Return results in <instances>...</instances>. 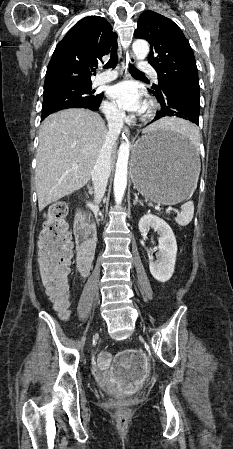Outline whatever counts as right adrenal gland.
Segmentation results:
<instances>
[{
    "label": "right adrenal gland",
    "mask_w": 233,
    "mask_h": 449,
    "mask_svg": "<svg viewBox=\"0 0 233 449\" xmlns=\"http://www.w3.org/2000/svg\"><path fill=\"white\" fill-rule=\"evenodd\" d=\"M88 192L90 195L93 194V188L88 184Z\"/></svg>",
    "instance_id": "right-adrenal-gland-1"
}]
</instances>
